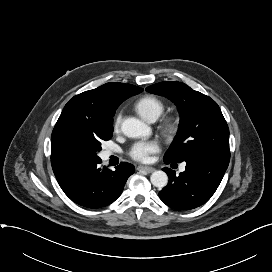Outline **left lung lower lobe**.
Listing matches in <instances>:
<instances>
[{"mask_svg":"<svg viewBox=\"0 0 272 272\" xmlns=\"http://www.w3.org/2000/svg\"><path fill=\"white\" fill-rule=\"evenodd\" d=\"M229 160L228 153H205L186 161V170L179 176L164 168L169 182L159 192L160 199L176 210H190L203 205L218 188Z\"/></svg>","mask_w":272,"mask_h":272,"instance_id":"obj_1","label":"left lung lower lobe"}]
</instances>
